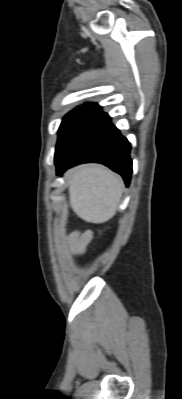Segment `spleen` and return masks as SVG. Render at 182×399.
<instances>
[{"label":"spleen","mask_w":182,"mask_h":399,"mask_svg":"<svg viewBox=\"0 0 182 399\" xmlns=\"http://www.w3.org/2000/svg\"><path fill=\"white\" fill-rule=\"evenodd\" d=\"M122 193V179L98 165L77 169L69 181L70 205L87 222L102 223L112 218Z\"/></svg>","instance_id":"1"}]
</instances>
